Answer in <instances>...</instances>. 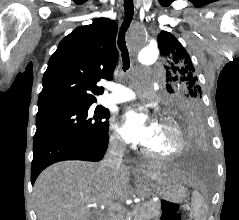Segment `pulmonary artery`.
<instances>
[{
    "label": "pulmonary artery",
    "instance_id": "obj_1",
    "mask_svg": "<svg viewBox=\"0 0 239 220\" xmlns=\"http://www.w3.org/2000/svg\"><path fill=\"white\" fill-rule=\"evenodd\" d=\"M110 94L106 97L109 103H122L136 98V93L132 88L122 84L112 83L108 86Z\"/></svg>",
    "mask_w": 239,
    "mask_h": 220
}]
</instances>
